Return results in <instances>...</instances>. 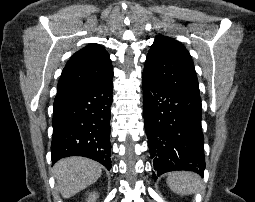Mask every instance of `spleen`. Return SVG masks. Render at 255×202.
<instances>
[{
	"label": "spleen",
	"mask_w": 255,
	"mask_h": 202,
	"mask_svg": "<svg viewBox=\"0 0 255 202\" xmlns=\"http://www.w3.org/2000/svg\"><path fill=\"white\" fill-rule=\"evenodd\" d=\"M167 184L173 192L189 195L198 191L200 178L192 172H172L168 174Z\"/></svg>",
	"instance_id": "1"
}]
</instances>
